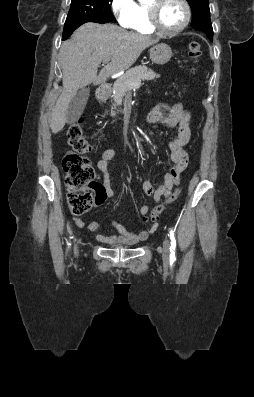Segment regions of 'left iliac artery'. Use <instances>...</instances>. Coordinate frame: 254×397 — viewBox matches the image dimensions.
Wrapping results in <instances>:
<instances>
[{
    "label": "left iliac artery",
    "instance_id": "44dca946",
    "mask_svg": "<svg viewBox=\"0 0 254 397\" xmlns=\"http://www.w3.org/2000/svg\"><path fill=\"white\" fill-rule=\"evenodd\" d=\"M170 240H171L170 260H175L176 240H175V236H174V231L173 230H170Z\"/></svg>",
    "mask_w": 254,
    "mask_h": 397
}]
</instances>
